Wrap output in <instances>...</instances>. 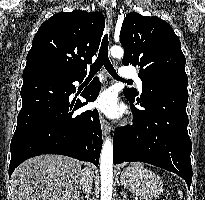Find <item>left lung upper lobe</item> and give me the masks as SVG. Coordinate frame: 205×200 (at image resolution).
<instances>
[{"label":"left lung upper lobe","instance_id":"1","mask_svg":"<svg viewBox=\"0 0 205 200\" xmlns=\"http://www.w3.org/2000/svg\"><path fill=\"white\" fill-rule=\"evenodd\" d=\"M120 43L125 50L122 63L138 66L142 87L156 79L187 77L180 40L161 18L136 12L127 14L120 31ZM125 92L138 95L135 89Z\"/></svg>","mask_w":205,"mask_h":200}]
</instances>
